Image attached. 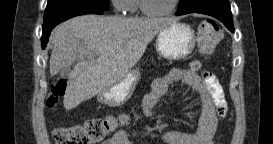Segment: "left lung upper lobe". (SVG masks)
I'll use <instances>...</instances> for the list:
<instances>
[{"label":"left lung upper lobe","instance_id":"5c2ea615","mask_svg":"<svg viewBox=\"0 0 273 144\" xmlns=\"http://www.w3.org/2000/svg\"><path fill=\"white\" fill-rule=\"evenodd\" d=\"M192 2L193 0H180L177 11H184L190 8L193 5Z\"/></svg>","mask_w":273,"mask_h":144}]
</instances>
